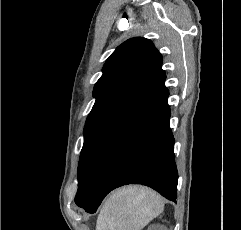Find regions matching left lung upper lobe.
Wrapping results in <instances>:
<instances>
[{"mask_svg": "<svg viewBox=\"0 0 241 230\" xmlns=\"http://www.w3.org/2000/svg\"><path fill=\"white\" fill-rule=\"evenodd\" d=\"M162 56L145 38H131L106 60L94 87L78 166V202L87 169L102 146L133 120L164 89Z\"/></svg>", "mask_w": 241, "mask_h": 230, "instance_id": "left-lung-upper-lobe-1", "label": "left lung upper lobe"}]
</instances>
